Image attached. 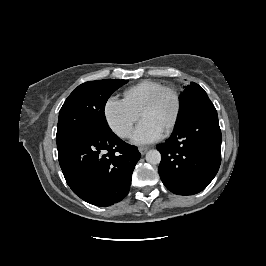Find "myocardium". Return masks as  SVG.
<instances>
[{
	"label": "myocardium",
	"mask_w": 266,
	"mask_h": 266,
	"mask_svg": "<svg viewBox=\"0 0 266 266\" xmlns=\"http://www.w3.org/2000/svg\"><path fill=\"white\" fill-rule=\"evenodd\" d=\"M165 92L172 93L174 98H175V102H176V108H175L174 116H173L172 120L169 122V124L165 128V131H170L177 124V122L179 120V117H180L181 108H182L181 97H180V94H179V92H178V90L176 88L170 87V86H163L160 89H158L157 91H155L150 96V98L144 103V105H143V107L141 108V111H140V116L142 117L143 112L146 109H148L149 107L153 106Z\"/></svg>",
	"instance_id": "myocardium-1"
}]
</instances>
